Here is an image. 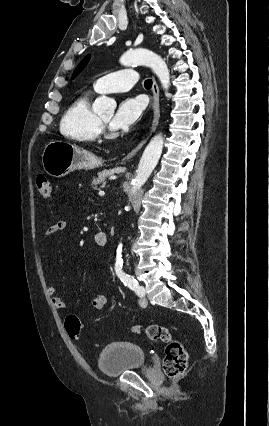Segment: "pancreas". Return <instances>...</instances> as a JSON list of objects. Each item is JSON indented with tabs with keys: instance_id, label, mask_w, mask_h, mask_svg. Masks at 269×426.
Here are the masks:
<instances>
[{
	"instance_id": "cf45deb5",
	"label": "pancreas",
	"mask_w": 269,
	"mask_h": 426,
	"mask_svg": "<svg viewBox=\"0 0 269 426\" xmlns=\"http://www.w3.org/2000/svg\"><path fill=\"white\" fill-rule=\"evenodd\" d=\"M109 176H110V174L107 173L106 171L97 173V175L92 180V188L94 190H97L98 189V185H101V187L103 188L106 185L105 180Z\"/></svg>"
}]
</instances>
